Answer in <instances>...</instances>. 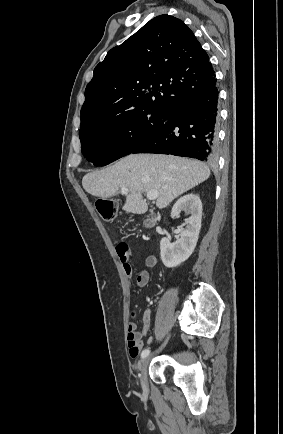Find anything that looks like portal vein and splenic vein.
I'll list each match as a JSON object with an SVG mask.
<instances>
[{"label": "portal vein and splenic vein", "instance_id": "18ae733b", "mask_svg": "<svg viewBox=\"0 0 283 434\" xmlns=\"http://www.w3.org/2000/svg\"><path fill=\"white\" fill-rule=\"evenodd\" d=\"M121 191L123 193L127 192V188L126 187H121ZM158 197V192L156 190H151L147 193V199L149 200H155Z\"/></svg>", "mask_w": 283, "mask_h": 434}]
</instances>
